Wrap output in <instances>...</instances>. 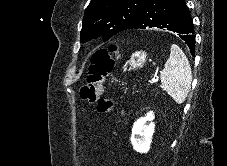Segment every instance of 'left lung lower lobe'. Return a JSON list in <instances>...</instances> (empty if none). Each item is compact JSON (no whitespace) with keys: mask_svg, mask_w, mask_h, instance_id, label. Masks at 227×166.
I'll use <instances>...</instances> for the list:
<instances>
[{"mask_svg":"<svg viewBox=\"0 0 227 166\" xmlns=\"http://www.w3.org/2000/svg\"><path fill=\"white\" fill-rule=\"evenodd\" d=\"M152 27L178 33L194 56V28L185 0H147L132 29Z\"/></svg>","mask_w":227,"mask_h":166,"instance_id":"0a47b994","label":"left lung lower lobe"}]
</instances>
